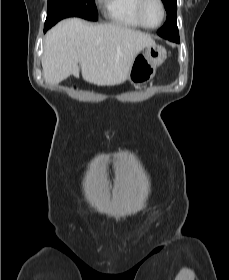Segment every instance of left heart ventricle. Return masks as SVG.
<instances>
[{"mask_svg":"<svg viewBox=\"0 0 229 280\" xmlns=\"http://www.w3.org/2000/svg\"><path fill=\"white\" fill-rule=\"evenodd\" d=\"M161 8L157 2L151 0L145 10H144V18L148 25L155 26L160 22L161 19Z\"/></svg>","mask_w":229,"mask_h":280,"instance_id":"left-heart-ventricle-1","label":"left heart ventricle"}]
</instances>
